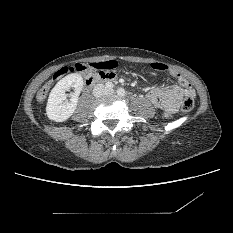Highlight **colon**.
<instances>
[{"instance_id":"obj_1","label":"colon","mask_w":233,"mask_h":233,"mask_svg":"<svg viewBox=\"0 0 233 233\" xmlns=\"http://www.w3.org/2000/svg\"><path fill=\"white\" fill-rule=\"evenodd\" d=\"M150 67L153 70L158 71V72L171 73V68L167 64L160 62V61H156V62L151 63ZM86 71H87V65L85 63H80V62L75 63L74 65L69 66V67L61 68L60 70H58L55 73V75L53 77V82L50 85H45V86L41 87V89L37 93V100L43 101L48 94L50 86L53 83H56L58 81L63 80L68 74H70V73H84ZM180 86L182 88H184L185 90H189V88H190L189 83L187 81H181ZM193 105H194L193 98L191 96H186L182 101V107H181L182 111L185 114L190 113L192 108H193Z\"/></svg>"}]
</instances>
